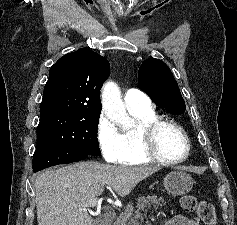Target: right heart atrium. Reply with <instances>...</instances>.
I'll list each match as a JSON object with an SVG mask.
<instances>
[{
    "label": "right heart atrium",
    "instance_id": "right-heart-atrium-1",
    "mask_svg": "<svg viewBox=\"0 0 237 225\" xmlns=\"http://www.w3.org/2000/svg\"><path fill=\"white\" fill-rule=\"evenodd\" d=\"M96 139L107 162L119 163L123 160L127 151L124 135L105 113H101L98 118Z\"/></svg>",
    "mask_w": 237,
    "mask_h": 225
}]
</instances>
